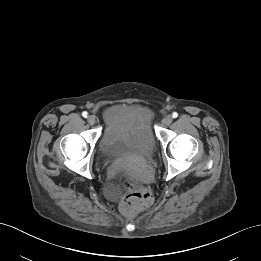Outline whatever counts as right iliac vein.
<instances>
[{
  "label": "right iliac vein",
  "instance_id": "right-iliac-vein-1",
  "mask_svg": "<svg viewBox=\"0 0 261 261\" xmlns=\"http://www.w3.org/2000/svg\"><path fill=\"white\" fill-rule=\"evenodd\" d=\"M87 122H88L90 125H94L95 122H96V117H95L94 115L88 116Z\"/></svg>",
  "mask_w": 261,
  "mask_h": 261
}]
</instances>
